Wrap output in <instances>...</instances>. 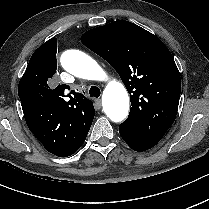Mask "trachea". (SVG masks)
Instances as JSON below:
<instances>
[{
	"label": "trachea",
	"instance_id": "1",
	"mask_svg": "<svg viewBox=\"0 0 209 209\" xmlns=\"http://www.w3.org/2000/svg\"><path fill=\"white\" fill-rule=\"evenodd\" d=\"M101 95L100 89L96 86H91L89 90V96L90 97H96L98 98Z\"/></svg>",
	"mask_w": 209,
	"mask_h": 209
}]
</instances>
